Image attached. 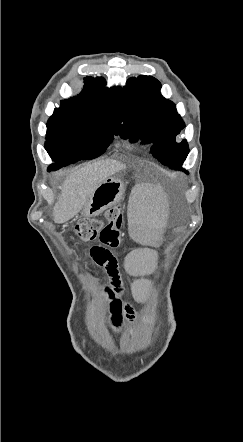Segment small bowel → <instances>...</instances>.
Wrapping results in <instances>:
<instances>
[{"label": "small bowel", "instance_id": "small-bowel-1", "mask_svg": "<svg viewBox=\"0 0 243 442\" xmlns=\"http://www.w3.org/2000/svg\"><path fill=\"white\" fill-rule=\"evenodd\" d=\"M94 261L106 270L110 278V285L105 287V295L112 299L110 303L111 324L115 330H119L121 327L122 313L125 314L127 319H133L134 312L129 306H122V303L119 299H114L115 295H120L123 293L118 261L115 257L110 262L104 265L96 259Z\"/></svg>", "mask_w": 243, "mask_h": 442}]
</instances>
